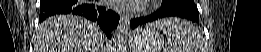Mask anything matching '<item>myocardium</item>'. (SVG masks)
I'll return each instance as SVG.
<instances>
[{
    "instance_id": "1",
    "label": "myocardium",
    "mask_w": 261,
    "mask_h": 52,
    "mask_svg": "<svg viewBox=\"0 0 261 52\" xmlns=\"http://www.w3.org/2000/svg\"><path fill=\"white\" fill-rule=\"evenodd\" d=\"M136 11H141V8H137V10Z\"/></svg>"
}]
</instances>
